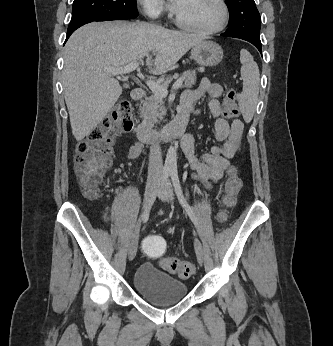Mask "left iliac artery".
<instances>
[{
  "instance_id": "left-iliac-artery-1",
  "label": "left iliac artery",
  "mask_w": 333,
  "mask_h": 346,
  "mask_svg": "<svg viewBox=\"0 0 333 346\" xmlns=\"http://www.w3.org/2000/svg\"><path fill=\"white\" fill-rule=\"evenodd\" d=\"M170 175H171V179H172L173 186L175 189V193L178 197L180 204L185 209V211L188 214V216L190 217L191 221L197 226L198 223H197L195 213H194L193 209L191 208V206L187 203L186 199L184 198V195H183V192L181 189V185H180V181H179V177H178L177 169L172 168L170 171Z\"/></svg>"
}]
</instances>
